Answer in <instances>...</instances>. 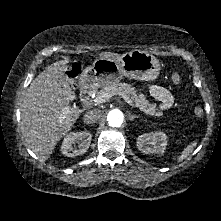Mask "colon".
I'll use <instances>...</instances> for the list:
<instances>
[{"mask_svg":"<svg viewBox=\"0 0 221 221\" xmlns=\"http://www.w3.org/2000/svg\"><path fill=\"white\" fill-rule=\"evenodd\" d=\"M78 72H79V66L76 64L72 65L70 68V75L75 76V75H77ZM171 79L176 84L180 83V81H181V77L177 73L172 74ZM203 114H204V110L201 107H196L194 109V115L196 117L200 118L203 116Z\"/></svg>","mask_w":221,"mask_h":221,"instance_id":"colon-1","label":"colon"}]
</instances>
